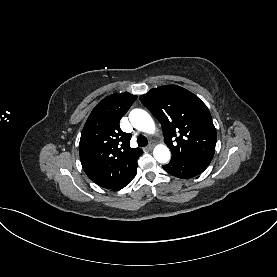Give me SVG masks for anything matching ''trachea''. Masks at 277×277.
<instances>
[{"label":"trachea","instance_id":"1","mask_svg":"<svg viewBox=\"0 0 277 277\" xmlns=\"http://www.w3.org/2000/svg\"><path fill=\"white\" fill-rule=\"evenodd\" d=\"M137 143H138L139 146L144 147L148 144V140H147L146 137L140 135L137 138Z\"/></svg>","mask_w":277,"mask_h":277}]
</instances>
